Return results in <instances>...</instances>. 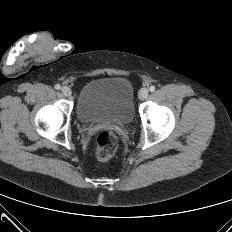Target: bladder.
Returning <instances> with one entry per match:
<instances>
[{"mask_svg": "<svg viewBox=\"0 0 232 232\" xmlns=\"http://www.w3.org/2000/svg\"><path fill=\"white\" fill-rule=\"evenodd\" d=\"M76 114L85 123L131 122L135 115L132 84L128 79L118 76L89 81L78 94Z\"/></svg>", "mask_w": 232, "mask_h": 232, "instance_id": "31cf9c89", "label": "bladder"}]
</instances>
